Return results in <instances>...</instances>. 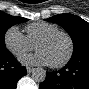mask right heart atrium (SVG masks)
<instances>
[{
	"mask_svg": "<svg viewBox=\"0 0 89 89\" xmlns=\"http://www.w3.org/2000/svg\"><path fill=\"white\" fill-rule=\"evenodd\" d=\"M6 48L17 58L32 51L35 46L16 26L8 28L4 34Z\"/></svg>",
	"mask_w": 89,
	"mask_h": 89,
	"instance_id": "d8ad5b80",
	"label": "right heart atrium"
}]
</instances>
